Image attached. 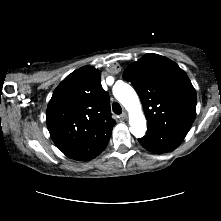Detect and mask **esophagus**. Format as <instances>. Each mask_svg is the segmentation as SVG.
I'll use <instances>...</instances> for the list:
<instances>
[{"instance_id":"obj_1","label":"esophagus","mask_w":221,"mask_h":221,"mask_svg":"<svg viewBox=\"0 0 221 221\" xmlns=\"http://www.w3.org/2000/svg\"><path fill=\"white\" fill-rule=\"evenodd\" d=\"M127 117H128V116H127V113H126V112H123V113L121 114V118H122V119H127Z\"/></svg>"}]
</instances>
